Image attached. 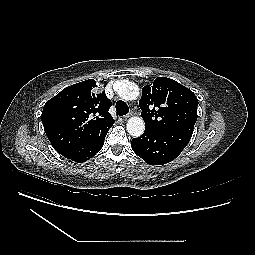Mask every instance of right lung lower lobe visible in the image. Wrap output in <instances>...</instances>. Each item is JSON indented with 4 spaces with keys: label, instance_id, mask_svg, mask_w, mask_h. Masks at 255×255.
I'll list each match as a JSON object with an SVG mask.
<instances>
[{
    "label": "right lung lower lobe",
    "instance_id": "1",
    "mask_svg": "<svg viewBox=\"0 0 255 255\" xmlns=\"http://www.w3.org/2000/svg\"><path fill=\"white\" fill-rule=\"evenodd\" d=\"M109 129L96 131L70 151L66 157L75 162L81 163L93 157L104 145V140Z\"/></svg>",
    "mask_w": 255,
    "mask_h": 255
}]
</instances>
